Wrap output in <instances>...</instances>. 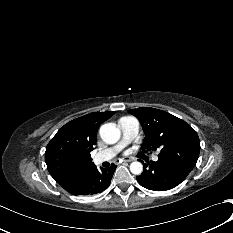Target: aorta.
<instances>
[{
	"instance_id": "obj_1",
	"label": "aorta",
	"mask_w": 233,
	"mask_h": 233,
	"mask_svg": "<svg viewBox=\"0 0 233 233\" xmlns=\"http://www.w3.org/2000/svg\"><path fill=\"white\" fill-rule=\"evenodd\" d=\"M101 139L107 144H114L120 138V130L114 123H107L100 127L99 130ZM132 174L140 175L143 171V165L139 161H134L130 164Z\"/></svg>"
}]
</instances>
